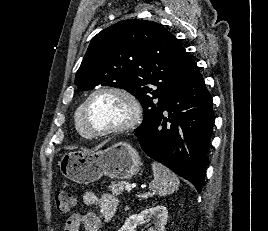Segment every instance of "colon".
<instances>
[{"label":"colon","instance_id":"1","mask_svg":"<svg viewBox=\"0 0 268 231\" xmlns=\"http://www.w3.org/2000/svg\"><path fill=\"white\" fill-rule=\"evenodd\" d=\"M55 204L59 213L66 214L74 208L76 198L68 191H58L55 196Z\"/></svg>","mask_w":268,"mask_h":231}]
</instances>
